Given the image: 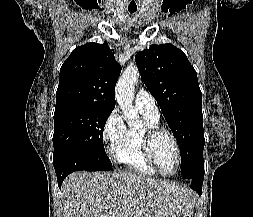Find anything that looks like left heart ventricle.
Masks as SVG:
<instances>
[{
  "label": "left heart ventricle",
  "mask_w": 253,
  "mask_h": 217,
  "mask_svg": "<svg viewBox=\"0 0 253 217\" xmlns=\"http://www.w3.org/2000/svg\"><path fill=\"white\" fill-rule=\"evenodd\" d=\"M154 157L165 173H172L176 168V152L171 139L162 134L158 136L153 144Z\"/></svg>",
  "instance_id": "1"
}]
</instances>
